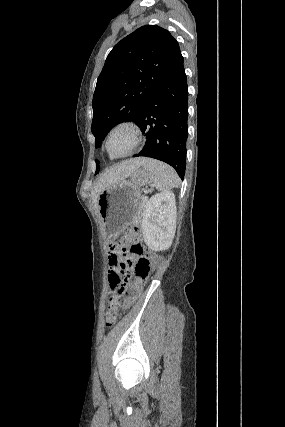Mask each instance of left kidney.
Here are the masks:
<instances>
[{"mask_svg":"<svg viewBox=\"0 0 285 427\" xmlns=\"http://www.w3.org/2000/svg\"><path fill=\"white\" fill-rule=\"evenodd\" d=\"M176 230V205L173 192L155 194L145 206L142 232L145 244L152 251L168 249Z\"/></svg>","mask_w":285,"mask_h":427,"instance_id":"obj_1","label":"left kidney"}]
</instances>
